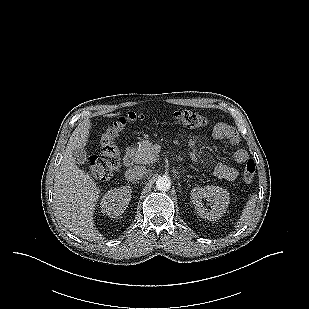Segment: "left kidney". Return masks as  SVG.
Here are the masks:
<instances>
[{
  "mask_svg": "<svg viewBox=\"0 0 309 309\" xmlns=\"http://www.w3.org/2000/svg\"><path fill=\"white\" fill-rule=\"evenodd\" d=\"M213 201L211 209H207L202 199ZM229 193L218 186H206L191 190V201L195 206L196 213L207 220L216 221L226 212L229 204Z\"/></svg>",
  "mask_w": 309,
  "mask_h": 309,
  "instance_id": "left-kidney-1",
  "label": "left kidney"
}]
</instances>
